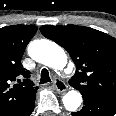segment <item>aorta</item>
<instances>
[{
    "mask_svg": "<svg viewBox=\"0 0 116 116\" xmlns=\"http://www.w3.org/2000/svg\"><path fill=\"white\" fill-rule=\"evenodd\" d=\"M28 54L35 61L61 70L67 64V55L64 50L56 43L41 39L35 40L28 46ZM64 107L68 111H76L82 103V96L76 90H71L62 98Z\"/></svg>",
    "mask_w": 116,
    "mask_h": 116,
    "instance_id": "1",
    "label": "aorta"
}]
</instances>
